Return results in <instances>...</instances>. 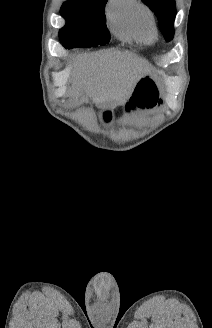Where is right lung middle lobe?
Wrapping results in <instances>:
<instances>
[{
  "mask_svg": "<svg viewBox=\"0 0 212 328\" xmlns=\"http://www.w3.org/2000/svg\"><path fill=\"white\" fill-rule=\"evenodd\" d=\"M107 0H68L61 7L66 25L60 30V40L66 48L93 47L109 42L105 23Z\"/></svg>",
  "mask_w": 212,
  "mask_h": 328,
  "instance_id": "1",
  "label": "right lung middle lobe"
}]
</instances>
